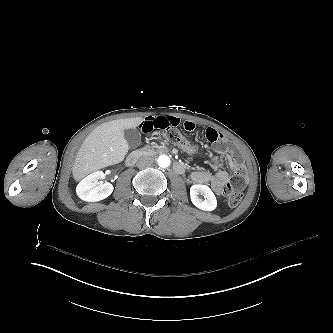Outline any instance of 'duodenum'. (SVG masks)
Listing matches in <instances>:
<instances>
[{
    "label": "duodenum",
    "mask_w": 333,
    "mask_h": 333,
    "mask_svg": "<svg viewBox=\"0 0 333 333\" xmlns=\"http://www.w3.org/2000/svg\"><path fill=\"white\" fill-rule=\"evenodd\" d=\"M143 154H144V151H142V150H136V151L131 152L126 158V164L128 166H134L137 163V161L139 160V158L141 156H143ZM174 169L178 173H182L184 170L183 165L179 162L174 163Z\"/></svg>",
    "instance_id": "410a0bca"
}]
</instances>
